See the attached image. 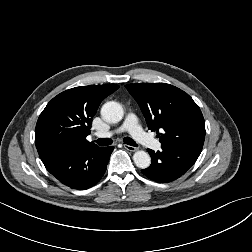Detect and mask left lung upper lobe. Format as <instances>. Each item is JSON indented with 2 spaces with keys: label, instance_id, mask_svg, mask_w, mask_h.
<instances>
[{
  "label": "left lung upper lobe",
  "instance_id": "1",
  "mask_svg": "<svg viewBox=\"0 0 252 252\" xmlns=\"http://www.w3.org/2000/svg\"><path fill=\"white\" fill-rule=\"evenodd\" d=\"M139 104L148 128L159 134L162 147H183L201 152L205 123L199 106L181 89L166 83L125 86Z\"/></svg>",
  "mask_w": 252,
  "mask_h": 252
}]
</instances>
